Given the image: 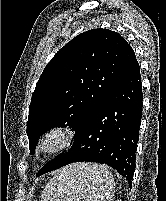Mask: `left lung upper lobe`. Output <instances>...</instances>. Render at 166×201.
<instances>
[{
    "instance_id": "left-lung-upper-lobe-1",
    "label": "left lung upper lobe",
    "mask_w": 166,
    "mask_h": 201,
    "mask_svg": "<svg viewBox=\"0 0 166 201\" xmlns=\"http://www.w3.org/2000/svg\"><path fill=\"white\" fill-rule=\"evenodd\" d=\"M135 59L118 33L91 29L61 48L46 65L32 94L27 121L30 154L53 127L77 131Z\"/></svg>"
}]
</instances>
